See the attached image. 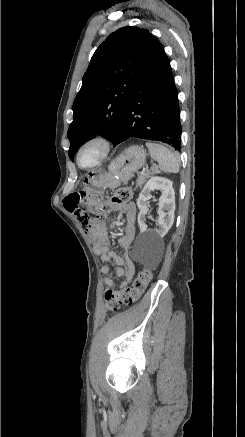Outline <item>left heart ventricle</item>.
Instances as JSON below:
<instances>
[{"label":"left heart ventricle","instance_id":"left-heart-ventricle-1","mask_svg":"<svg viewBox=\"0 0 245 437\" xmlns=\"http://www.w3.org/2000/svg\"><path fill=\"white\" fill-rule=\"evenodd\" d=\"M100 150L97 146L92 145L85 148L80 157V161L82 165L92 164L99 156Z\"/></svg>","mask_w":245,"mask_h":437}]
</instances>
